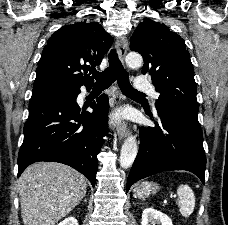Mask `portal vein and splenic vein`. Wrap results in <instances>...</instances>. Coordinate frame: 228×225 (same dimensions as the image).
Segmentation results:
<instances>
[{"mask_svg": "<svg viewBox=\"0 0 228 225\" xmlns=\"http://www.w3.org/2000/svg\"><path fill=\"white\" fill-rule=\"evenodd\" d=\"M167 199L168 200H176V195H168L167 196ZM167 199H162V204L163 205H166L168 203V200Z\"/></svg>", "mask_w": 228, "mask_h": 225, "instance_id": "portal-vein-and-splenic-vein-1", "label": "portal vein and splenic vein"}]
</instances>
